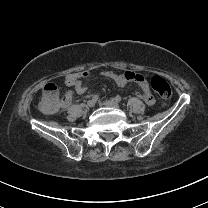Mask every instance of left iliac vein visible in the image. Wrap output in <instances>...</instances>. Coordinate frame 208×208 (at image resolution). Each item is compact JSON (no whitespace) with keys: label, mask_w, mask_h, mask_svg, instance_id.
I'll use <instances>...</instances> for the list:
<instances>
[{"label":"left iliac vein","mask_w":208,"mask_h":208,"mask_svg":"<svg viewBox=\"0 0 208 208\" xmlns=\"http://www.w3.org/2000/svg\"><path fill=\"white\" fill-rule=\"evenodd\" d=\"M104 105L108 106V107H113V108H119V104L117 101L115 100H106L103 102Z\"/></svg>","instance_id":"1"}]
</instances>
